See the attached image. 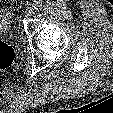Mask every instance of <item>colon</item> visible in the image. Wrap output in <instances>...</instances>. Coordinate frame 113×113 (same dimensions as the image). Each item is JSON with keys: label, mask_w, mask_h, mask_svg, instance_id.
Segmentation results:
<instances>
[{"label": "colon", "mask_w": 113, "mask_h": 113, "mask_svg": "<svg viewBox=\"0 0 113 113\" xmlns=\"http://www.w3.org/2000/svg\"><path fill=\"white\" fill-rule=\"evenodd\" d=\"M14 60L13 48L5 42L0 41V70L11 66Z\"/></svg>", "instance_id": "colon-1"}]
</instances>
